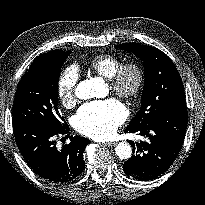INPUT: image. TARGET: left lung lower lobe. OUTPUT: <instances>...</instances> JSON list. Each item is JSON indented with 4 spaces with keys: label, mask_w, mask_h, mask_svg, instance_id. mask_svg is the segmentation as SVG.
I'll list each match as a JSON object with an SVG mask.
<instances>
[{
    "label": "left lung lower lobe",
    "mask_w": 205,
    "mask_h": 205,
    "mask_svg": "<svg viewBox=\"0 0 205 205\" xmlns=\"http://www.w3.org/2000/svg\"><path fill=\"white\" fill-rule=\"evenodd\" d=\"M187 122V107L180 105L165 110L138 128H126V133H137L147 139L136 144L130 142L134 152L123 165L125 174L149 181L164 173L182 148Z\"/></svg>",
    "instance_id": "1"
}]
</instances>
